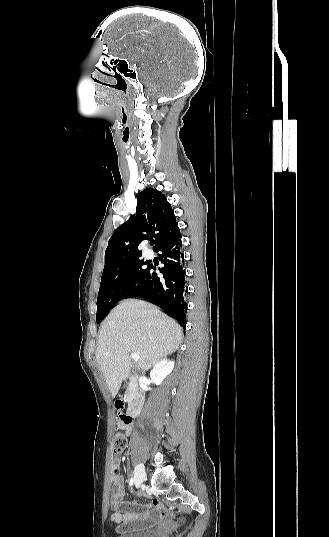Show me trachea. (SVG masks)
<instances>
[{
  "label": "trachea",
  "instance_id": "obj_1",
  "mask_svg": "<svg viewBox=\"0 0 329 537\" xmlns=\"http://www.w3.org/2000/svg\"><path fill=\"white\" fill-rule=\"evenodd\" d=\"M153 244H154V242H151V245H153Z\"/></svg>",
  "mask_w": 329,
  "mask_h": 537
}]
</instances>
